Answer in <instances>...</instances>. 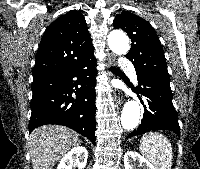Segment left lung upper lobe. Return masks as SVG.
Here are the masks:
<instances>
[{
    "mask_svg": "<svg viewBox=\"0 0 200 169\" xmlns=\"http://www.w3.org/2000/svg\"><path fill=\"white\" fill-rule=\"evenodd\" d=\"M113 26L123 29L130 37L131 49L126 57L133 63L136 72L170 80L161 42L149 22L124 11L114 19Z\"/></svg>",
    "mask_w": 200,
    "mask_h": 169,
    "instance_id": "1",
    "label": "left lung upper lobe"
}]
</instances>
